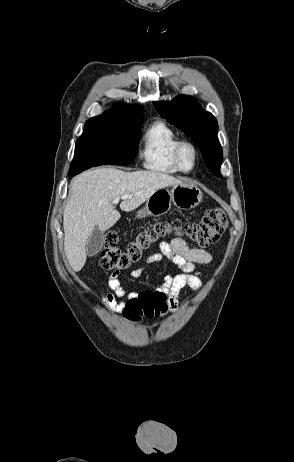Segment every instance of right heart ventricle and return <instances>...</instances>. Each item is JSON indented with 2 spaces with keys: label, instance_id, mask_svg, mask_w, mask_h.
<instances>
[{
  "label": "right heart ventricle",
  "instance_id": "e07e8e85",
  "mask_svg": "<svg viewBox=\"0 0 294 462\" xmlns=\"http://www.w3.org/2000/svg\"><path fill=\"white\" fill-rule=\"evenodd\" d=\"M175 131L164 121L153 122L143 135L140 157L143 166L152 172L175 174L179 172L173 161V151L179 142Z\"/></svg>",
  "mask_w": 294,
  "mask_h": 462
}]
</instances>
